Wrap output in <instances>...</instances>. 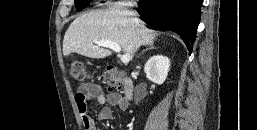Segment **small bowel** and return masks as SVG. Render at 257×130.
Wrapping results in <instances>:
<instances>
[{"instance_id": "c3829d8e", "label": "small bowel", "mask_w": 257, "mask_h": 130, "mask_svg": "<svg viewBox=\"0 0 257 130\" xmlns=\"http://www.w3.org/2000/svg\"><path fill=\"white\" fill-rule=\"evenodd\" d=\"M96 100L104 105L98 112L99 121L109 120L113 117L111 106L124 111L128 107L127 100L119 93L105 94L101 86L94 83H85L78 87L75 94V102L85 130H97L95 120L91 117L88 109V101Z\"/></svg>"}]
</instances>
